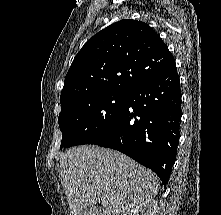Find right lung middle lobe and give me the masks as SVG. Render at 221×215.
Segmentation results:
<instances>
[{
	"instance_id": "1",
	"label": "right lung middle lobe",
	"mask_w": 221,
	"mask_h": 215,
	"mask_svg": "<svg viewBox=\"0 0 221 215\" xmlns=\"http://www.w3.org/2000/svg\"><path fill=\"white\" fill-rule=\"evenodd\" d=\"M127 94L108 93L74 102L61 109L62 147L89 144L107 133L121 116Z\"/></svg>"
}]
</instances>
